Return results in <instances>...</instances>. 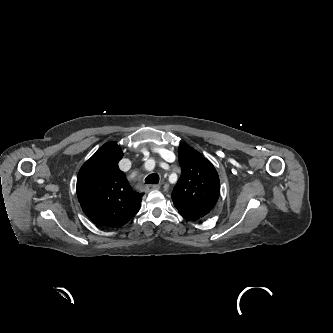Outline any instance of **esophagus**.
<instances>
[{
    "label": "esophagus",
    "mask_w": 333,
    "mask_h": 333,
    "mask_svg": "<svg viewBox=\"0 0 333 333\" xmlns=\"http://www.w3.org/2000/svg\"><path fill=\"white\" fill-rule=\"evenodd\" d=\"M159 188H160V186H159V185H156V184L148 185V186L146 187V191H147V192H150V191H152V190H158Z\"/></svg>",
    "instance_id": "34e87169"
}]
</instances>
